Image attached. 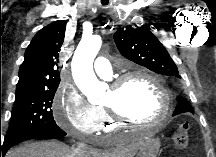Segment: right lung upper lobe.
<instances>
[{
	"label": "right lung upper lobe",
	"mask_w": 216,
	"mask_h": 157,
	"mask_svg": "<svg viewBox=\"0 0 216 157\" xmlns=\"http://www.w3.org/2000/svg\"><path fill=\"white\" fill-rule=\"evenodd\" d=\"M66 23L55 21L32 39L19 69L16 97L28 91L58 88V52L64 41Z\"/></svg>",
	"instance_id": "right-lung-upper-lobe-1"
}]
</instances>
